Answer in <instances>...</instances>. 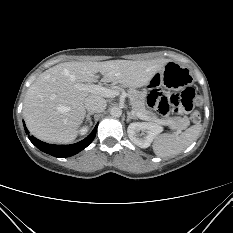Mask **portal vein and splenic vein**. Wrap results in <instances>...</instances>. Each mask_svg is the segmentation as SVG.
Instances as JSON below:
<instances>
[{"label":"portal vein and splenic vein","mask_w":233,"mask_h":233,"mask_svg":"<svg viewBox=\"0 0 233 233\" xmlns=\"http://www.w3.org/2000/svg\"><path fill=\"white\" fill-rule=\"evenodd\" d=\"M84 89L88 92H91V93L100 94L106 98H112V97H115L119 94L117 90L107 89V88L101 87L99 85H89V86L85 87ZM137 116L140 119L145 120V118L141 114L137 113ZM163 124L170 125L169 122H164Z\"/></svg>","instance_id":"1"}]
</instances>
